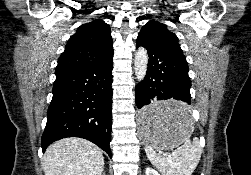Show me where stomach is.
I'll use <instances>...</instances> for the list:
<instances>
[{"label":"stomach","instance_id":"0dacf381","mask_svg":"<svg viewBox=\"0 0 251 175\" xmlns=\"http://www.w3.org/2000/svg\"><path fill=\"white\" fill-rule=\"evenodd\" d=\"M181 105L183 100H154L152 105L143 107L138 119L141 141L155 149H172L183 143L185 134H198V129H180L197 128L191 114H182V111H192V106Z\"/></svg>","mask_w":251,"mask_h":175}]
</instances>
